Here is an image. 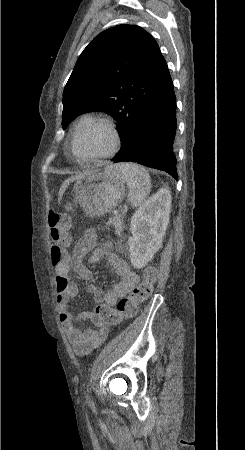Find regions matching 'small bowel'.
Listing matches in <instances>:
<instances>
[{
  "instance_id": "obj_1",
  "label": "small bowel",
  "mask_w": 245,
  "mask_h": 450,
  "mask_svg": "<svg viewBox=\"0 0 245 450\" xmlns=\"http://www.w3.org/2000/svg\"><path fill=\"white\" fill-rule=\"evenodd\" d=\"M90 254L89 262L97 264L104 261L114 272L118 280L107 291H101L94 284L86 287L87 292L97 303L115 306L120 298L126 296L136 285L139 278L127 262L114 252L110 241L98 243L93 230L86 231L77 241L72 255L54 268L55 291L59 304L58 318L63 323L69 342L79 356L90 354L108 335V326L99 322L93 312L73 313L68 305L69 299L77 296L78 286L69 280L70 272L75 271L82 279H90L91 273L84 265V258ZM90 320L95 328L78 327L77 323Z\"/></svg>"
}]
</instances>
